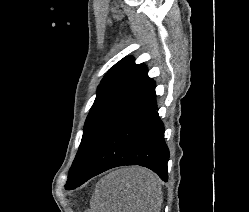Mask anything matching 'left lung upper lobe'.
Instances as JSON below:
<instances>
[{
    "mask_svg": "<svg viewBox=\"0 0 249 212\" xmlns=\"http://www.w3.org/2000/svg\"><path fill=\"white\" fill-rule=\"evenodd\" d=\"M147 72L145 65L135 64L132 57H126L104 76L85 121L66 184L80 176L111 127L153 82Z\"/></svg>",
    "mask_w": 249,
    "mask_h": 212,
    "instance_id": "1",
    "label": "left lung upper lobe"
}]
</instances>
